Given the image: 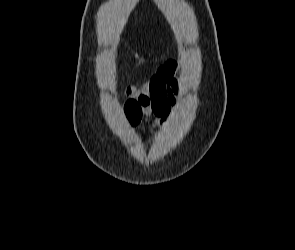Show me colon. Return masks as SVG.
<instances>
[{"mask_svg": "<svg viewBox=\"0 0 295 250\" xmlns=\"http://www.w3.org/2000/svg\"><path fill=\"white\" fill-rule=\"evenodd\" d=\"M124 110L132 124H136L141 120L142 108L137 101L129 99L125 103Z\"/></svg>", "mask_w": 295, "mask_h": 250, "instance_id": "colon-1", "label": "colon"}]
</instances>
